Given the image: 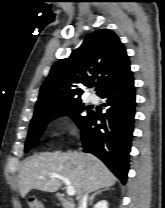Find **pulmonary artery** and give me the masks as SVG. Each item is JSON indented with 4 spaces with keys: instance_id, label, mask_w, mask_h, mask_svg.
Here are the masks:
<instances>
[{
    "instance_id": "pulmonary-artery-1",
    "label": "pulmonary artery",
    "mask_w": 165,
    "mask_h": 208,
    "mask_svg": "<svg viewBox=\"0 0 165 208\" xmlns=\"http://www.w3.org/2000/svg\"><path fill=\"white\" fill-rule=\"evenodd\" d=\"M88 101L91 103H97L98 99L95 95L88 96Z\"/></svg>"
}]
</instances>
